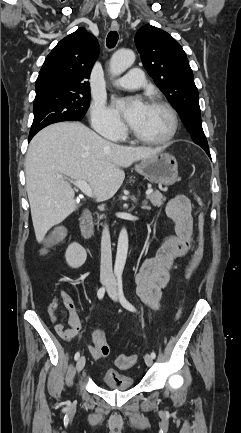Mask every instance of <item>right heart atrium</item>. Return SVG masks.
Segmentation results:
<instances>
[{
	"mask_svg": "<svg viewBox=\"0 0 241 433\" xmlns=\"http://www.w3.org/2000/svg\"><path fill=\"white\" fill-rule=\"evenodd\" d=\"M91 125L97 133L112 140L121 139L125 133L120 118L101 101L92 105Z\"/></svg>",
	"mask_w": 241,
	"mask_h": 433,
	"instance_id": "1",
	"label": "right heart atrium"
}]
</instances>
